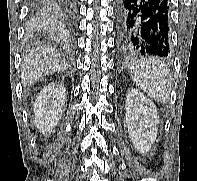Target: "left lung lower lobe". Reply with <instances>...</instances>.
Here are the masks:
<instances>
[{"label":"left lung lower lobe","instance_id":"obj_1","mask_svg":"<svg viewBox=\"0 0 197 181\" xmlns=\"http://www.w3.org/2000/svg\"><path fill=\"white\" fill-rule=\"evenodd\" d=\"M169 0H119L117 51L121 57H166L170 49Z\"/></svg>","mask_w":197,"mask_h":181}]
</instances>
